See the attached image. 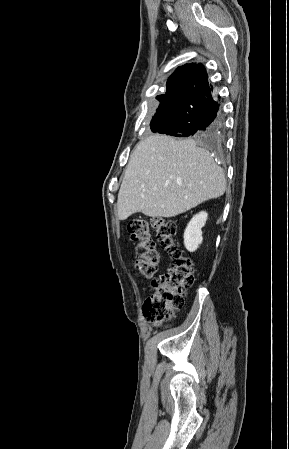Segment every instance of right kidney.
<instances>
[{"mask_svg": "<svg viewBox=\"0 0 289 449\" xmlns=\"http://www.w3.org/2000/svg\"><path fill=\"white\" fill-rule=\"evenodd\" d=\"M208 214L202 211L190 220L184 232V245L189 252L198 249L203 241L202 227H204Z\"/></svg>", "mask_w": 289, "mask_h": 449, "instance_id": "obj_1", "label": "right kidney"}]
</instances>
